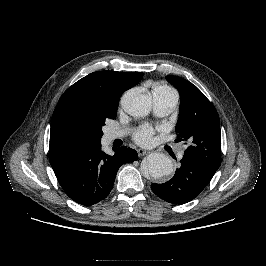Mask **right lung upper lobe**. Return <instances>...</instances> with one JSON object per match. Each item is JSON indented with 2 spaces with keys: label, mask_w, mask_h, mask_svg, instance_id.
<instances>
[{
  "label": "right lung upper lobe",
  "mask_w": 266,
  "mask_h": 266,
  "mask_svg": "<svg viewBox=\"0 0 266 266\" xmlns=\"http://www.w3.org/2000/svg\"><path fill=\"white\" fill-rule=\"evenodd\" d=\"M142 77L141 72L97 71L70 86L54 110L50 143L67 140L61 125L71 110L95 111L101 108H117L122 93L135 86Z\"/></svg>",
  "instance_id": "right-lung-upper-lobe-1"
}]
</instances>
